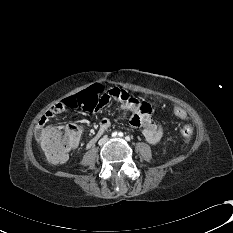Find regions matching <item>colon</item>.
I'll return each instance as SVG.
<instances>
[{"label":"colon","mask_w":233,"mask_h":233,"mask_svg":"<svg viewBox=\"0 0 233 233\" xmlns=\"http://www.w3.org/2000/svg\"><path fill=\"white\" fill-rule=\"evenodd\" d=\"M105 90L103 85L95 84L75 96L64 99L65 107L94 111V105ZM173 113L181 121L186 122L190 118L185 109L178 105L174 107ZM180 133L184 138H190L193 134V127L185 124L181 127ZM80 136L81 132L75 124L49 127L37 133L38 142L46 158L53 164H60L67 160Z\"/></svg>","instance_id":"colon-1"}]
</instances>
